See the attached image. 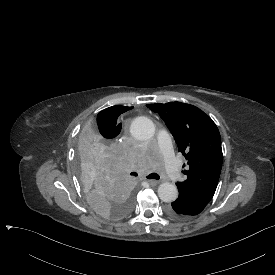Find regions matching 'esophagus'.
<instances>
[{
  "mask_svg": "<svg viewBox=\"0 0 275 275\" xmlns=\"http://www.w3.org/2000/svg\"><path fill=\"white\" fill-rule=\"evenodd\" d=\"M146 181H147L148 184L151 185V186H156V185L159 183L158 180H154V179H147Z\"/></svg>",
  "mask_w": 275,
  "mask_h": 275,
  "instance_id": "esophagus-1",
  "label": "esophagus"
}]
</instances>
